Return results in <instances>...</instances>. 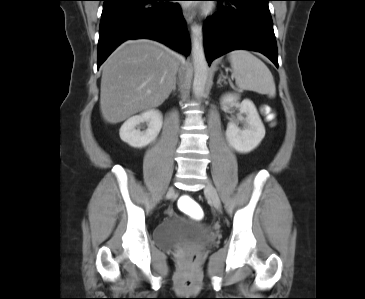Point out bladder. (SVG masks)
<instances>
[{"instance_id": "obj_1", "label": "bladder", "mask_w": 365, "mask_h": 299, "mask_svg": "<svg viewBox=\"0 0 365 299\" xmlns=\"http://www.w3.org/2000/svg\"><path fill=\"white\" fill-rule=\"evenodd\" d=\"M154 241L163 250L177 251L187 247L205 248L214 243L210 228L182 216L160 222L154 230Z\"/></svg>"}]
</instances>
